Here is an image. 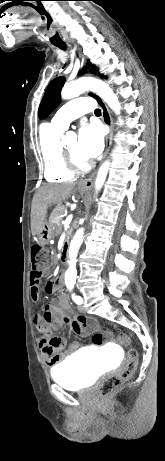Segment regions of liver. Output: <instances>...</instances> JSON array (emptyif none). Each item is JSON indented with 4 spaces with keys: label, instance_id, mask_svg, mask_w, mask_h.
Wrapping results in <instances>:
<instances>
[{
    "label": "liver",
    "instance_id": "1",
    "mask_svg": "<svg viewBox=\"0 0 165 461\" xmlns=\"http://www.w3.org/2000/svg\"><path fill=\"white\" fill-rule=\"evenodd\" d=\"M76 186V183L49 184L42 186L35 193L31 207V232L37 235L45 221L47 209L50 205H61L67 200Z\"/></svg>",
    "mask_w": 165,
    "mask_h": 461
}]
</instances>
